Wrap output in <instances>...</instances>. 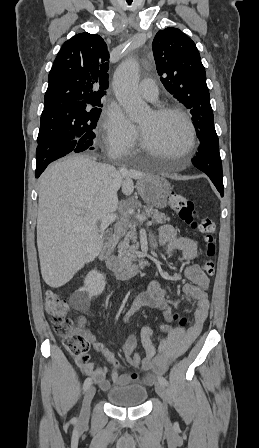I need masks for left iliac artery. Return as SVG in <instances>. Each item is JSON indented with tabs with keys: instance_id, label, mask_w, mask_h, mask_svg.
I'll return each mask as SVG.
<instances>
[{
	"instance_id": "left-iliac-artery-1",
	"label": "left iliac artery",
	"mask_w": 259,
	"mask_h": 448,
	"mask_svg": "<svg viewBox=\"0 0 259 448\" xmlns=\"http://www.w3.org/2000/svg\"><path fill=\"white\" fill-rule=\"evenodd\" d=\"M158 382H160L164 386H166L168 384L167 380L164 377H162V376L158 377Z\"/></svg>"
}]
</instances>
